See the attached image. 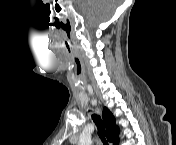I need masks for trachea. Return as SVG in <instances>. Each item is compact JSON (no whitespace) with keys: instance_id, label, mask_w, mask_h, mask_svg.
Instances as JSON below:
<instances>
[{"instance_id":"1","label":"trachea","mask_w":176,"mask_h":145,"mask_svg":"<svg viewBox=\"0 0 176 145\" xmlns=\"http://www.w3.org/2000/svg\"><path fill=\"white\" fill-rule=\"evenodd\" d=\"M92 119L95 122L97 129H98V135L101 139V141L103 142L104 145H108L107 140L105 139V124L104 122L101 120L100 116L93 114L92 115Z\"/></svg>"}]
</instances>
